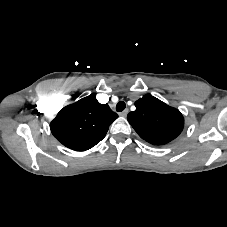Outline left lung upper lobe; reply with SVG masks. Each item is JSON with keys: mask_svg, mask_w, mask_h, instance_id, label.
Returning a JSON list of instances; mask_svg holds the SVG:
<instances>
[{"mask_svg": "<svg viewBox=\"0 0 227 227\" xmlns=\"http://www.w3.org/2000/svg\"><path fill=\"white\" fill-rule=\"evenodd\" d=\"M136 110L127 119L139 136L153 145H164L182 132L184 118L181 112L151 95L135 102Z\"/></svg>", "mask_w": 227, "mask_h": 227, "instance_id": "5c2ea615", "label": "left lung upper lobe"}]
</instances>
